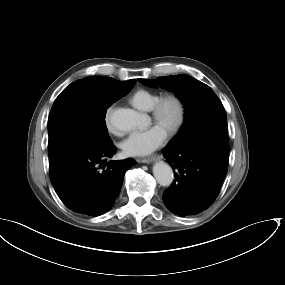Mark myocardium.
Returning a JSON list of instances; mask_svg holds the SVG:
<instances>
[{
	"label": "myocardium",
	"instance_id": "obj_1",
	"mask_svg": "<svg viewBox=\"0 0 285 285\" xmlns=\"http://www.w3.org/2000/svg\"><path fill=\"white\" fill-rule=\"evenodd\" d=\"M169 103H174L177 108V117L174 123L167 127L168 135H176L183 127L186 120V105L182 97L175 93H169L160 97L151 108V115L155 122L162 120L163 111Z\"/></svg>",
	"mask_w": 285,
	"mask_h": 285
}]
</instances>
